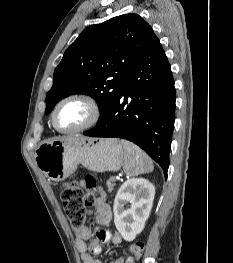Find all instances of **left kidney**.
<instances>
[{
    "label": "left kidney",
    "instance_id": "obj_1",
    "mask_svg": "<svg viewBox=\"0 0 233 263\" xmlns=\"http://www.w3.org/2000/svg\"><path fill=\"white\" fill-rule=\"evenodd\" d=\"M155 196V187L144 178L124 182L115 197L114 223L126 241H133L142 232L149 217ZM130 203V207H125Z\"/></svg>",
    "mask_w": 233,
    "mask_h": 263
}]
</instances>
